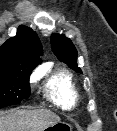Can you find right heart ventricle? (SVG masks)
Wrapping results in <instances>:
<instances>
[{"instance_id": "obj_1", "label": "right heart ventricle", "mask_w": 117, "mask_h": 131, "mask_svg": "<svg viewBox=\"0 0 117 131\" xmlns=\"http://www.w3.org/2000/svg\"><path fill=\"white\" fill-rule=\"evenodd\" d=\"M47 97L62 108L75 106L79 99V89L73 76L64 69L54 71L45 84Z\"/></svg>"}]
</instances>
